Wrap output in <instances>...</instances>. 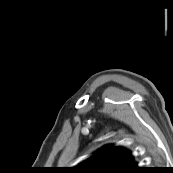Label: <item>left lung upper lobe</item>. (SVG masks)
<instances>
[{
	"label": "left lung upper lobe",
	"mask_w": 173,
	"mask_h": 173,
	"mask_svg": "<svg viewBox=\"0 0 173 173\" xmlns=\"http://www.w3.org/2000/svg\"><path fill=\"white\" fill-rule=\"evenodd\" d=\"M75 173H141L131 153L121 147L105 146L74 168Z\"/></svg>",
	"instance_id": "5c2ea615"
}]
</instances>
